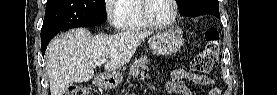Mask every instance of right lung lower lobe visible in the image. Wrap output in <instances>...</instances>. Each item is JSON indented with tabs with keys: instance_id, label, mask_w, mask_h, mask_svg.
Returning <instances> with one entry per match:
<instances>
[{
	"instance_id": "98d812e1",
	"label": "right lung lower lobe",
	"mask_w": 277,
	"mask_h": 95,
	"mask_svg": "<svg viewBox=\"0 0 277 95\" xmlns=\"http://www.w3.org/2000/svg\"><path fill=\"white\" fill-rule=\"evenodd\" d=\"M58 32H53V33H48V34H45V35H41V49H42L43 55L46 51L48 43Z\"/></svg>"
}]
</instances>
